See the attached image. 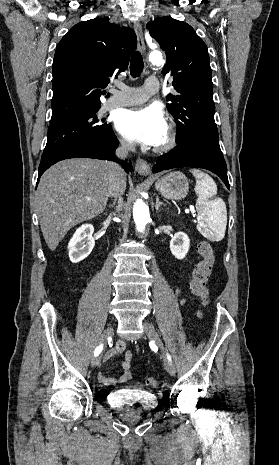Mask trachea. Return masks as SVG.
<instances>
[{
	"label": "trachea",
	"mask_w": 279,
	"mask_h": 465,
	"mask_svg": "<svg viewBox=\"0 0 279 465\" xmlns=\"http://www.w3.org/2000/svg\"><path fill=\"white\" fill-rule=\"evenodd\" d=\"M130 62V74L133 78H136L140 75L144 67L143 58L140 52H134Z\"/></svg>",
	"instance_id": "trachea-1"
}]
</instances>
